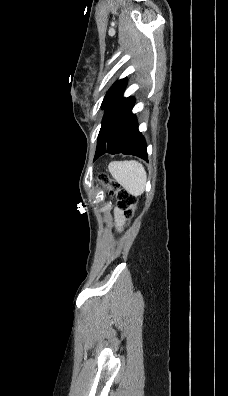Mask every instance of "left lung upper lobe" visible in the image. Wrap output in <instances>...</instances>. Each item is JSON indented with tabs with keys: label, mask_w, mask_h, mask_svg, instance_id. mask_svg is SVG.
Instances as JSON below:
<instances>
[{
	"label": "left lung upper lobe",
	"mask_w": 228,
	"mask_h": 396,
	"mask_svg": "<svg viewBox=\"0 0 228 396\" xmlns=\"http://www.w3.org/2000/svg\"><path fill=\"white\" fill-rule=\"evenodd\" d=\"M126 84L127 81L125 78L116 81L106 93L104 100L102 102V107L107 110L112 105V103L122 95L126 87Z\"/></svg>",
	"instance_id": "1"
}]
</instances>
